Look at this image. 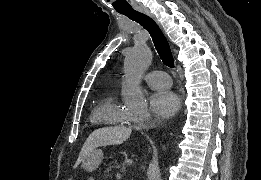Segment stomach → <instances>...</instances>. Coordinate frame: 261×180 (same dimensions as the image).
<instances>
[{
	"label": "stomach",
	"instance_id": "1",
	"mask_svg": "<svg viewBox=\"0 0 261 180\" xmlns=\"http://www.w3.org/2000/svg\"><path fill=\"white\" fill-rule=\"evenodd\" d=\"M103 160V152L100 149H94L82 161V166L85 171H94Z\"/></svg>",
	"mask_w": 261,
	"mask_h": 180
}]
</instances>
